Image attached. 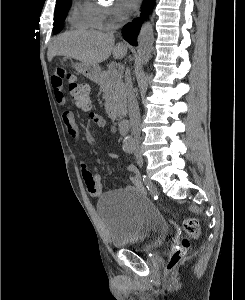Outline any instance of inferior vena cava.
<instances>
[{
    "mask_svg": "<svg viewBox=\"0 0 245 300\" xmlns=\"http://www.w3.org/2000/svg\"><path fill=\"white\" fill-rule=\"evenodd\" d=\"M125 83H126V95L128 99V110H129V117H130V124L132 127L133 135L136 141L137 147L139 146L140 142V112L139 106L136 99L135 91L133 89L132 81H131V73L129 69L125 71Z\"/></svg>",
    "mask_w": 245,
    "mask_h": 300,
    "instance_id": "602c4592",
    "label": "inferior vena cava"
}]
</instances>
